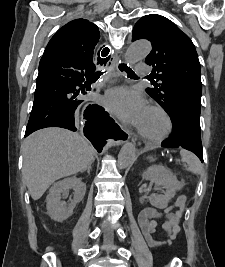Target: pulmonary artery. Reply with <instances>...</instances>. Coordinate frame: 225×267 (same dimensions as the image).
<instances>
[{"mask_svg":"<svg viewBox=\"0 0 225 267\" xmlns=\"http://www.w3.org/2000/svg\"><path fill=\"white\" fill-rule=\"evenodd\" d=\"M137 75H146L148 73V67L146 64H137L136 65Z\"/></svg>","mask_w":225,"mask_h":267,"instance_id":"1","label":"pulmonary artery"}]
</instances>
